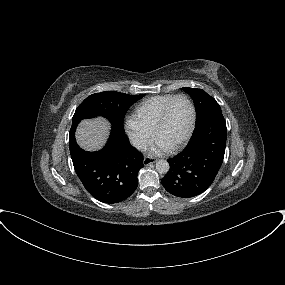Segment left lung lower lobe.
Here are the masks:
<instances>
[{"label":"left lung lower lobe","instance_id":"left-lung-lower-lobe-1","mask_svg":"<svg viewBox=\"0 0 285 285\" xmlns=\"http://www.w3.org/2000/svg\"><path fill=\"white\" fill-rule=\"evenodd\" d=\"M227 128L222 112H214L196 126L187 147L168 159L170 169L161 179L172 195L189 198L203 193L223 162Z\"/></svg>","mask_w":285,"mask_h":285}]
</instances>
